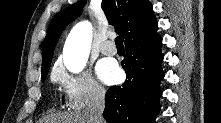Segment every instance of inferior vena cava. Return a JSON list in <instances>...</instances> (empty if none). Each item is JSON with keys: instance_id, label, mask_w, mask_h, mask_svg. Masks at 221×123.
Wrapping results in <instances>:
<instances>
[{"instance_id": "inferior-vena-cava-1", "label": "inferior vena cava", "mask_w": 221, "mask_h": 123, "mask_svg": "<svg viewBox=\"0 0 221 123\" xmlns=\"http://www.w3.org/2000/svg\"><path fill=\"white\" fill-rule=\"evenodd\" d=\"M105 108V91L102 88L95 87L92 90L90 103L86 109V114L91 123H103V111Z\"/></svg>"}]
</instances>
